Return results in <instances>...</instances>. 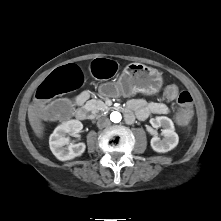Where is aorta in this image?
Returning <instances> with one entry per match:
<instances>
[{"instance_id":"obj_1","label":"aorta","mask_w":221,"mask_h":221,"mask_svg":"<svg viewBox=\"0 0 221 221\" xmlns=\"http://www.w3.org/2000/svg\"><path fill=\"white\" fill-rule=\"evenodd\" d=\"M110 119L114 123H119L122 120V115L118 111H113L110 115Z\"/></svg>"}]
</instances>
